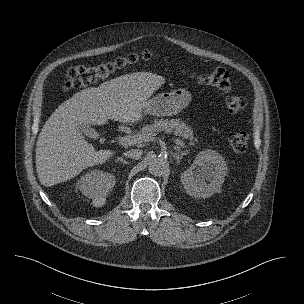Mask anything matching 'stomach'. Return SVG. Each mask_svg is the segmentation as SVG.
<instances>
[{
    "label": "stomach",
    "instance_id": "0dacf381",
    "mask_svg": "<svg viewBox=\"0 0 304 304\" xmlns=\"http://www.w3.org/2000/svg\"><path fill=\"white\" fill-rule=\"evenodd\" d=\"M191 94L184 88L163 92L148 99L142 113L155 116H172L181 112L191 101Z\"/></svg>",
    "mask_w": 304,
    "mask_h": 304
}]
</instances>
